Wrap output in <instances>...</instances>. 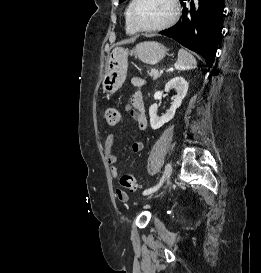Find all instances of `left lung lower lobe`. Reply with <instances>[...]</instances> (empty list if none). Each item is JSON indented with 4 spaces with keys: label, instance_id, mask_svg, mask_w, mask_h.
Wrapping results in <instances>:
<instances>
[{
    "label": "left lung lower lobe",
    "instance_id": "obj_1",
    "mask_svg": "<svg viewBox=\"0 0 261 273\" xmlns=\"http://www.w3.org/2000/svg\"><path fill=\"white\" fill-rule=\"evenodd\" d=\"M186 1L190 0H180L184 10L178 23L160 34L200 54L211 67L222 30L223 0H196V4L191 1L190 8Z\"/></svg>",
    "mask_w": 261,
    "mask_h": 273
}]
</instances>
